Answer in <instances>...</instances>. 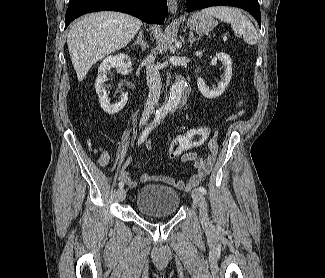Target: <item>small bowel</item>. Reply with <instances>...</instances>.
Returning a JSON list of instances; mask_svg holds the SVG:
<instances>
[{
  "mask_svg": "<svg viewBox=\"0 0 325 278\" xmlns=\"http://www.w3.org/2000/svg\"><path fill=\"white\" fill-rule=\"evenodd\" d=\"M191 130L192 129H189L182 135H189L191 133ZM145 148L151 149L150 142H145ZM207 148L208 151L206 153L190 151V152H185L181 155V161L193 163L194 169L196 171V173L192 175L187 182L176 180L169 176H150L147 173H143L139 177V182L146 183L150 180H159L169 185L175 186L177 188H186V189L193 188L197 186L201 182V180H203L210 173L215 163L219 151L218 144L215 138H212L207 142ZM109 159H110L109 152L104 151L100 155L98 159V163L101 166H106L109 163ZM130 162H131V158L128 157L125 160L121 169L119 170L118 180L121 181L122 183H125L130 188H135L138 184V181L132 178L131 172L127 169Z\"/></svg>",
  "mask_w": 325,
  "mask_h": 278,
  "instance_id": "c3829d8e",
  "label": "small bowel"
}]
</instances>
